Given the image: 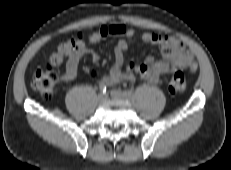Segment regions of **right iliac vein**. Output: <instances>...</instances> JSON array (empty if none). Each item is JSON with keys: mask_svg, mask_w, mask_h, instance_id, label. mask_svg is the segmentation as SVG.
Masks as SVG:
<instances>
[{"mask_svg": "<svg viewBox=\"0 0 231 170\" xmlns=\"http://www.w3.org/2000/svg\"><path fill=\"white\" fill-rule=\"evenodd\" d=\"M105 99V95L104 94H99L98 95V100L99 101H103Z\"/></svg>", "mask_w": 231, "mask_h": 170, "instance_id": "right-iliac-vein-1", "label": "right iliac vein"}]
</instances>
